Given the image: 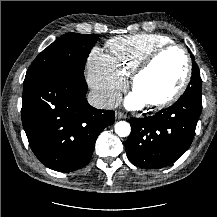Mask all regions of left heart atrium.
I'll return each mask as SVG.
<instances>
[{
	"label": "left heart atrium",
	"mask_w": 217,
	"mask_h": 217,
	"mask_svg": "<svg viewBox=\"0 0 217 217\" xmlns=\"http://www.w3.org/2000/svg\"><path fill=\"white\" fill-rule=\"evenodd\" d=\"M146 102L135 92H133L126 100V104L131 108H139Z\"/></svg>",
	"instance_id": "left-heart-atrium-1"
}]
</instances>
